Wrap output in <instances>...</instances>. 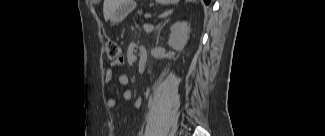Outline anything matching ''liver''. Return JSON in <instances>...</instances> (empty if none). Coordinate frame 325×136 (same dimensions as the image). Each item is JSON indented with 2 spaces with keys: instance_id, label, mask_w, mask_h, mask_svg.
<instances>
[{
  "instance_id": "1",
  "label": "liver",
  "mask_w": 325,
  "mask_h": 136,
  "mask_svg": "<svg viewBox=\"0 0 325 136\" xmlns=\"http://www.w3.org/2000/svg\"><path fill=\"white\" fill-rule=\"evenodd\" d=\"M122 0H104L103 14L105 21L111 18V15L118 9Z\"/></svg>"
}]
</instances>
